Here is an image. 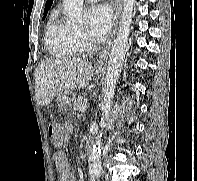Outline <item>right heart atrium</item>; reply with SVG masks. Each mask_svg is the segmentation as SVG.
<instances>
[{"mask_svg":"<svg viewBox=\"0 0 197 181\" xmlns=\"http://www.w3.org/2000/svg\"><path fill=\"white\" fill-rule=\"evenodd\" d=\"M77 38L80 46H85L88 42L87 37L83 32L77 31Z\"/></svg>","mask_w":197,"mask_h":181,"instance_id":"obj_1","label":"right heart atrium"}]
</instances>
